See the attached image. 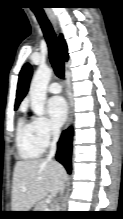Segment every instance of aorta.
I'll list each match as a JSON object with an SVG mask.
<instances>
[{"label":"aorta","instance_id":"762f6f07","mask_svg":"<svg viewBox=\"0 0 123 219\" xmlns=\"http://www.w3.org/2000/svg\"><path fill=\"white\" fill-rule=\"evenodd\" d=\"M51 76L52 69L45 65H40L33 76L29 95L31 99V110L37 115L44 114L46 90Z\"/></svg>","mask_w":123,"mask_h":219}]
</instances>
